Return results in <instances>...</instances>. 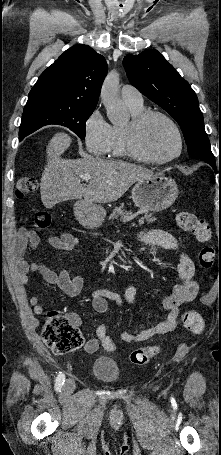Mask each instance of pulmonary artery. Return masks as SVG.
I'll use <instances>...</instances> for the list:
<instances>
[{"mask_svg":"<svg viewBox=\"0 0 221 455\" xmlns=\"http://www.w3.org/2000/svg\"><path fill=\"white\" fill-rule=\"evenodd\" d=\"M121 97L123 101L131 106H143V97L140 91L132 85H124L121 88Z\"/></svg>","mask_w":221,"mask_h":455,"instance_id":"e3ab8cb5","label":"pulmonary artery"}]
</instances>
